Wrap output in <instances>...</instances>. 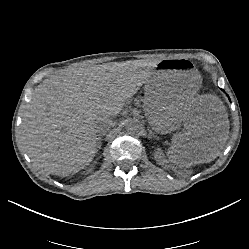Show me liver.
<instances>
[{
  "label": "liver",
  "instance_id": "6515ba94",
  "mask_svg": "<svg viewBox=\"0 0 249 249\" xmlns=\"http://www.w3.org/2000/svg\"><path fill=\"white\" fill-rule=\"evenodd\" d=\"M152 73L151 68L105 64L69 67L43 80L32 92L22 118V144L34 166L60 176L84 169L97 153L96 120L118 115ZM143 103L156 133L164 135L184 126L171 139L173 152H167L174 163H209L220 155L230 126L217 96L172 102L153 92L145 94Z\"/></svg>",
  "mask_w": 249,
  "mask_h": 249
}]
</instances>
